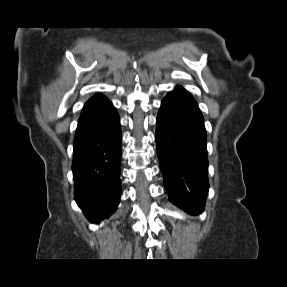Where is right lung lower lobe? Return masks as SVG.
Returning a JSON list of instances; mask_svg holds the SVG:
<instances>
[{
  "mask_svg": "<svg viewBox=\"0 0 287 287\" xmlns=\"http://www.w3.org/2000/svg\"><path fill=\"white\" fill-rule=\"evenodd\" d=\"M121 128L107 101L82 111L73 145L74 197L91 223L108 218L120 201Z\"/></svg>",
  "mask_w": 287,
  "mask_h": 287,
  "instance_id": "98d812e1",
  "label": "right lung lower lobe"
}]
</instances>
